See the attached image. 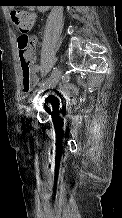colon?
Segmentation results:
<instances>
[{"mask_svg": "<svg viewBox=\"0 0 122 218\" xmlns=\"http://www.w3.org/2000/svg\"><path fill=\"white\" fill-rule=\"evenodd\" d=\"M11 17L14 24L22 33L18 41L21 86L23 91L28 92L33 86V77L31 74V54L33 43L28 36V33L35 25L36 15L32 12L15 9L12 10Z\"/></svg>", "mask_w": 122, "mask_h": 218, "instance_id": "5ec220e1", "label": "colon"}]
</instances>
